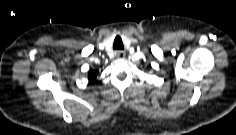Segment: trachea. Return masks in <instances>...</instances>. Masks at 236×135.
<instances>
[{
  "label": "trachea",
  "instance_id": "trachea-1",
  "mask_svg": "<svg viewBox=\"0 0 236 135\" xmlns=\"http://www.w3.org/2000/svg\"><path fill=\"white\" fill-rule=\"evenodd\" d=\"M113 49L115 50H123L124 49V45L122 42V39L120 36H116L114 39V43H113Z\"/></svg>",
  "mask_w": 236,
  "mask_h": 135
}]
</instances>
